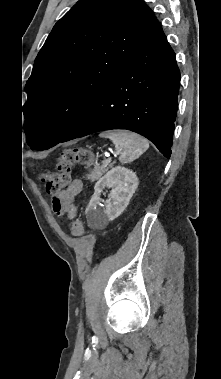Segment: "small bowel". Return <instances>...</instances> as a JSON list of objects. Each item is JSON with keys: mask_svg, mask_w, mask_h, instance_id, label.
Here are the masks:
<instances>
[{"mask_svg": "<svg viewBox=\"0 0 221 379\" xmlns=\"http://www.w3.org/2000/svg\"><path fill=\"white\" fill-rule=\"evenodd\" d=\"M82 189V182L79 179H75L65 190H50L49 195L53 197L52 203L55 213L74 218L77 213L76 198L81 194Z\"/></svg>", "mask_w": 221, "mask_h": 379, "instance_id": "small-bowel-1", "label": "small bowel"}]
</instances>
